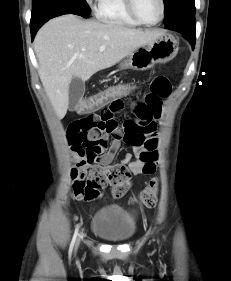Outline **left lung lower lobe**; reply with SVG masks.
<instances>
[{"label": "left lung lower lobe", "instance_id": "0a47b994", "mask_svg": "<svg viewBox=\"0 0 231 281\" xmlns=\"http://www.w3.org/2000/svg\"><path fill=\"white\" fill-rule=\"evenodd\" d=\"M166 28L176 30L182 34H184L188 40L190 41L193 49L195 47L196 41V25H195V13H187L177 18L171 20L167 25Z\"/></svg>", "mask_w": 231, "mask_h": 281}]
</instances>
